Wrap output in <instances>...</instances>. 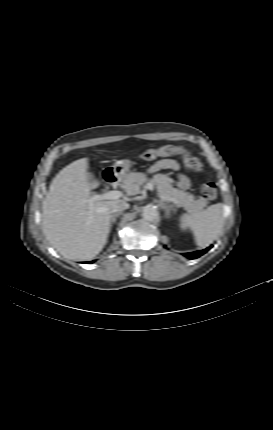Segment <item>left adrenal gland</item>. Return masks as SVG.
<instances>
[{"instance_id": "left-adrenal-gland-1", "label": "left adrenal gland", "mask_w": 273, "mask_h": 430, "mask_svg": "<svg viewBox=\"0 0 273 430\" xmlns=\"http://www.w3.org/2000/svg\"><path fill=\"white\" fill-rule=\"evenodd\" d=\"M159 205L163 208L165 212V218L169 219L171 215V206L166 205L164 202L160 201Z\"/></svg>"}]
</instances>
